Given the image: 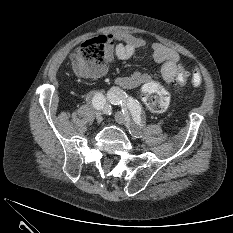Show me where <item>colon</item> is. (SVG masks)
Returning <instances> with one entry per match:
<instances>
[{"label":"colon","mask_w":233,"mask_h":233,"mask_svg":"<svg viewBox=\"0 0 233 233\" xmlns=\"http://www.w3.org/2000/svg\"><path fill=\"white\" fill-rule=\"evenodd\" d=\"M108 39L99 36L84 41L73 54V65L76 72L83 76H93L99 74L105 65L106 48ZM190 81L195 87L202 83V76L197 68L188 71L179 69L175 84L183 86ZM142 100L146 108L154 113L164 112L170 103L167 91L157 82H148L142 88Z\"/></svg>","instance_id":"5ec220e1"}]
</instances>
